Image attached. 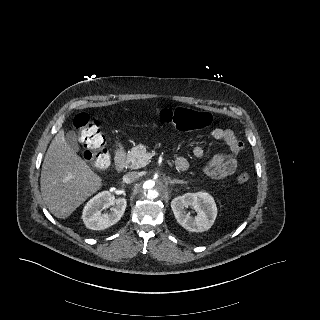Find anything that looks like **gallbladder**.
<instances>
[{
  "label": "gallbladder",
  "mask_w": 320,
  "mask_h": 320,
  "mask_svg": "<svg viewBox=\"0 0 320 320\" xmlns=\"http://www.w3.org/2000/svg\"><path fill=\"white\" fill-rule=\"evenodd\" d=\"M66 141L68 145L74 150L78 151L79 147L77 145L76 139H75V132L74 131H69L67 133Z\"/></svg>",
  "instance_id": "1"
}]
</instances>
